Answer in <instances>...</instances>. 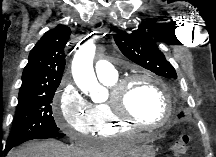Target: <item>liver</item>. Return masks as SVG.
I'll use <instances>...</instances> for the list:
<instances>
[{
  "instance_id": "6515ba94",
  "label": "liver",
  "mask_w": 216,
  "mask_h": 157,
  "mask_svg": "<svg viewBox=\"0 0 216 157\" xmlns=\"http://www.w3.org/2000/svg\"><path fill=\"white\" fill-rule=\"evenodd\" d=\"M142 149L130 141L91 148L52 140L28 143L12 150L8 157H137Z\"/></svg>"
}]
</instances>
